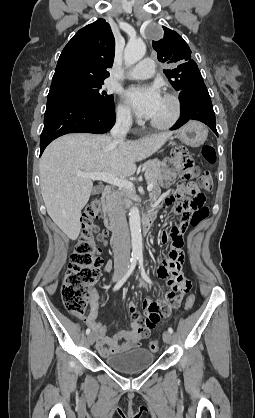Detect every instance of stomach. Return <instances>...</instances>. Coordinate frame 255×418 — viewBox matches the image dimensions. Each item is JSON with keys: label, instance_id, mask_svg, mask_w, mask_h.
I'll list each match as a JSON object with an SVG mask.
<instances>
[{"label": "stomach", "instance_id": "stomach-1", "mask_svg": "<svg viewBox=\"0 0 255 418\" xmlns=\"http://www.w3.org/2000/svg\"><path fill=\"white\" fill-rule=\"evenodd\" d=\"M207 133L204 125L191 121L177 131L176 138L188 146L198 147L205 142Z\"/></svg>", "mask_w": 255, "mask_h": 418}]
</instances>
